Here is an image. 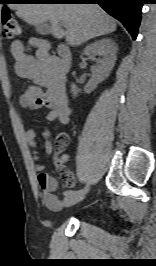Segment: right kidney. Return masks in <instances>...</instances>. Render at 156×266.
<instances>
[{"label":"right kidney","mask_w":156,"mask_h":266,"mask_svg":"<svg viewBox=\"0 0 156 266\" xmlns=\"http://www.w3.org/2000/svg\"><path fill=\"white\" fill-rule=\"evenodd\" d=\"M84 53L91 60H95V56H99L96 60V65L91 68L92 77L84 88V92L89 94L112 71L116 61L117 45L110 38H102L89 44L84 49ZM71 91L74 97L80 92L75 84L71 85Z\"/></svg>","instance_id":"right-kidney-1"}]
</instances>
